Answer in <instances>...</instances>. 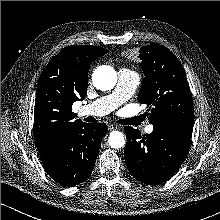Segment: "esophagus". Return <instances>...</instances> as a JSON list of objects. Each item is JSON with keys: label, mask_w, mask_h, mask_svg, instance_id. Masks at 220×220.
Listing matches in <instances>:
<instances>
[{"label": "esophagus", "mask_w": 220, "mask_h": 220, "mask_svg": "<svg viewBox=\"0 0 220 220\" xmlns=\"http://www.w3.org/2000/svg\"><path fill=\"white\" fill-rule=\"evenodd\" d=\"M108 128H109V130H114V129L118 128V125L111 123L108 125Z\"/></svg>", "instance_id": "obj_1"}]
</instances>
